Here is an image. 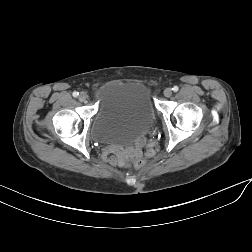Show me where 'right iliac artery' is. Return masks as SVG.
<instances>
[{
  "label": "right iliac artery",
  "mask_w": 252,
  "mask_h": 252,
  "mask_svg": "<svg viewBox=\"0 0 252 252\" xmlns=\"http://www.w3.org/2000/svg\"><path fill=\"white\" fill-rule=\"evenodd\" d=\"M74 97H77L79 95L78 92L74 91L73 94H72Z\"/></svg>",
  "instance_id": "right-iliac-artery-1"
}]
</instances>
